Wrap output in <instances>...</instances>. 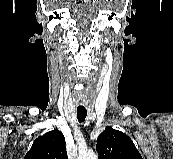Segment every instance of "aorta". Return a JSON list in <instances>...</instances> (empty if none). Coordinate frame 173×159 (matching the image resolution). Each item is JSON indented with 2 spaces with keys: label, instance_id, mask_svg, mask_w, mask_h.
I'll list each match as a JSON object with an SVG mask.
<instances>
[{
  "label": "aorta",
  "instance_id": "1",
  "mask_svg": "<svg viewBox=\"0 0 173 159\" xmlns=\"http://www.w3.org/2000/svg\"><path fill=\"white\" fill-rule=\"evenodd\" d=\"M77 159H98V157L92 152L81 151Z\"/></svg>",
  "mask_w": 173,
  "mask_h": 159
}]
</instances>
